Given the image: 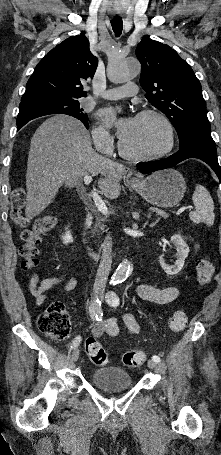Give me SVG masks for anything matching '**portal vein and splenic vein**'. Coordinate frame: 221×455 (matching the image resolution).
Instances as JSON below:
<instances>
[{"mask_svg":"<svg viewBox=\"0 0 221 455\" xmlns=\"http://www.w3.org/2000/svg\"><path fill=\"white\" fill-rule=\"evenodd\" d=\"M91 181H92V176H90V175H85L84 176L85 185H89L91 183ZM91 196L93 198V201H94L95 206L98 209V211L100 213H102L103 215H105V216L108 215V209H107L105 203L103 202V200L99 197V195L96 192L92 191L91 192ZM187 209L191 210V207L183 206L177 211L176 214L179 215V214H181L182 212H184Z\"/></svg>","mask_w":221,"mask_h":455,"instance_id":"18ae733b","label":"portal vein and splenic vein"}]
</instances>
